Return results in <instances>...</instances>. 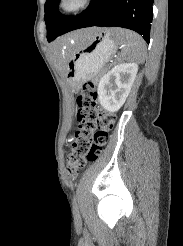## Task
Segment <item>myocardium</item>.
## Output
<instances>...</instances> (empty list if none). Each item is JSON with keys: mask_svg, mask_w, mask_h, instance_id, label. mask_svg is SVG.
<instances>
[{"mask_svg": "<svg viewBox=\"0 0 183 246\" xmlns=\"http://www.w3.org/2000/svg\"><path fill=\"white\" fill-rule=\"evenodd\" d=\"M92 0H60L58 10L63 14H75L89 6Z\"/></svg>", "mask_w": 183, "mask_h": 246, "instance_id": "f54148a6", "label": "myocardium"}]
</instances>
